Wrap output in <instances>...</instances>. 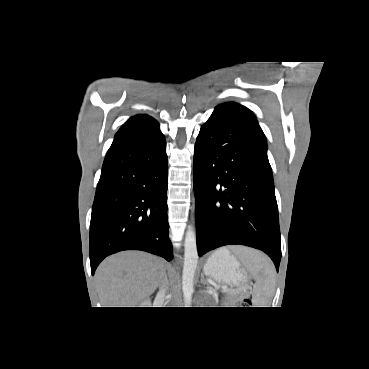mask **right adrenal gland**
<instances>
[{"mask_svg":"<svg viewBox=\"0 0 369 369\" xmlns=\"http://www.w3.org/2000/svg\"><path fill=\"white\" fill-rule=\"evenodd\" d=\"M167 284H168V279H167V274H165L164 275V278H163V280H162V282H161V284L159 286H161V285L166 286Z\"/></svg>","mask_w":369,"mask_h":369,"instance_id":"right-adrenal-gland-1","label":"right adrenal gland"}]
</instances>
